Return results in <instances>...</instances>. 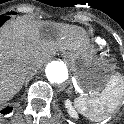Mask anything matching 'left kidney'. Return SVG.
Here are the masks:
<instances>
[{"label": "left kidney", "mask_w": 124, "mask_h": 124, "mask_svg": "<svg viewBox=\"0 0 124 124\" xmlns=\"http://www.w3.org/2000/svg\"><path fill=\"white\" fill-rule=\"evenodd\" d=\"M65 107L68 109V113L70 114L71 117L77 118V113L75 112L74 108L71 105V101L67 99L65 101Z\"/></svg>", "instance_id": "left-kidney-1"}]
</instances>
